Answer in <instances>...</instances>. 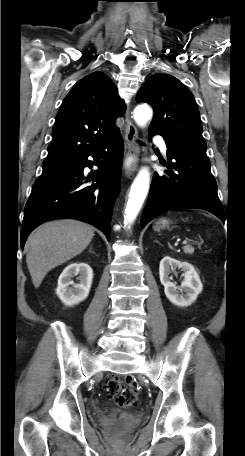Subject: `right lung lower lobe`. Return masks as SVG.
<instances>
[{"mask_svg": "<svg viewBox=\"0 0 245 456\" xmlns=\"http://www.w3.org/2000/svg\"><path fill=\"white\" fill-rule=\"evenodd\" d=\"M123 150V140L118 132L64 166L43 170L25 206L21 247L35 227L58 218L89 223L110 240L112 209L120 189ZM89 156L98 163L88 160ZM92 164L100 170L85 178L83 170L87 166L91 168ZM91 179L97 183L87 185Z\"/></svg>", "mask_w": 245, "mask_h": 456, "instance_id": "obj_1", "label": "right lung lower lobe"}]
</instances>
